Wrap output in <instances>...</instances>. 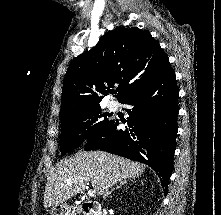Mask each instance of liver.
<instances>
[{
    "instance_id": "liver-1",
    "label": "liver",
    "mask_w": 221,
    "mask_h": 215,
    "mask_svg": "<svg viewBox=\"0 0 221 215\" xmlns=\"http://www.w3.org/2000/svg\"><path fill=\"white\" fill-rule=\"evenodd\" d=\"M145 167L123 157L102 151L78 152L60 162L48 177L44 207L64 203L82 192L90 183L98 195L126 178L141 176Z\"/></svg>"
}]
</instances>
